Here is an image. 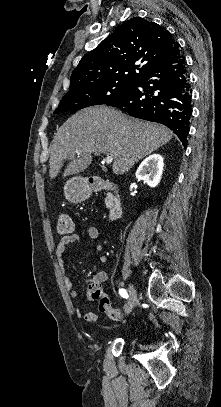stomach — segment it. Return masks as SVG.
Wrapping results in <instances>:
<instances>
[{
	"instance_id": "obj_1",
	"label": "stomach",
	"mask_w": 221,
	"mask_h": 407,
	"mask_svg": "<svg viewBox=\"0 0 221 407\" xmlns=\"http://www.w3.org/2000/svg\"><path fill=\"white\" fill-rule=\"evenodd\" d=\"M64 194L70 203L78 204L90 197L91 190L85 178L73 177L66 182Z\"/></svg>"
}]
</instances>
